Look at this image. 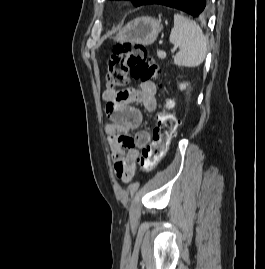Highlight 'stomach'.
<instances>
[{"instance_id":"0dacf381","label":"stomach","mask_w":265,"mask_h":269,"mask_svg":"<svg viewBox=\"0 0 265 269\" xmlns=\"http://www.w3.org/2000/svg\"><path fill=\"white\" fill-rule=\"evenodd\" d=\"M162 30L160 20L142 16L128 22L114 37L117 42L151 45Z\"/></svg>"}]
</instances>
